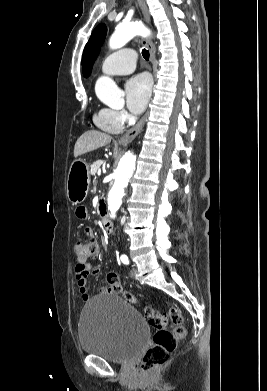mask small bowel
Segmentation results:
<instances>
[{
  "label": "small bowel",
  "mask_w": 267,
  "mask_h": 391,
  "mask_svg": "<svg viewBox=\"0 0 267 391\" xmlns=\"http://www.w3.org/2000/svg\"><path fill=\"white\" fill-rule=\"evenodd\" d=\"M76 216L79 219H85L87 217V209L84 206H78L76 209ZM86 232H87V234H89V236L91 235L89 229H86ZM75 272H76V281H77L78 291L81 294L83 301H88L90 296L88 295L87 279L91 275L98 274L99 268L96 266H92V265H89L85 268H79L76 266ZM100 293L101 294H108L110 292L106 287H102L100 289Z\"/></svg>",
  "instance_id": "obj_1"
}]
</instances>
